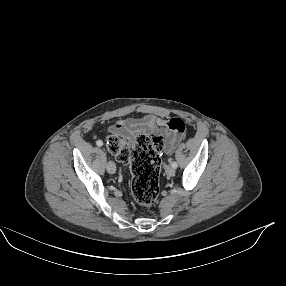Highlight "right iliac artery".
<instances>
[{"label":"right iliac artery","mask_w":286,"mask_h":286,"mask_svg":"<svg viewBox=\"0 0 286 286\" xmlns=\"http://www.w3.org/2000/svg\"><path fill=\"white\" fill-rule=\"evenodd\" d=\"M96 144H97V146H102L103 145V142L101 141V140H98L97 142H96Z\"/></svg>","instance_id":"82829eb1"}]
</instances>
